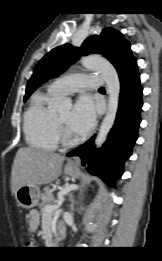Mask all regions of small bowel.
I'll use <instances>...</instances> for the list:
<instances>
[{
    "mask_svg": "<svg viewBox=\"0 0 162 261\" xmlns=\"http://www.w3.org/2000/svg\"><path fill=\"white\" fill-rule=\"evenodd\" d=\"M38 223H39L38 214L36 212H32L31 215H30V226L33 229H37Z\"/></svg>",
    "mask_w": 162,
    "mask_h": 261,
    "instance_id": "c3829d8e",
    "label": "small bowel"
}]
</instances>
